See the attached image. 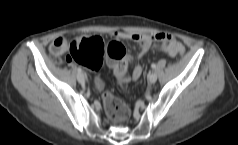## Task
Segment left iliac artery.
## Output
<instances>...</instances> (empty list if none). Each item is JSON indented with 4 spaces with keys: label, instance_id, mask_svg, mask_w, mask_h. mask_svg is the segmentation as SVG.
I'll return each mask as SVG.
<instances>
[{
    "label": "left iliac artery",
    "instance_id": "left-iliac-artery-1",
    "mask_svg": "<svg viewBox=\"0 0 238 145\" xmlns=\"http://www.w3.org/2000/svg\"><path fill=\"white\" fill-rule=\"evenodd\" d=\"M151 67H152L153 69H155V68H156V65H155V64H152Z\"/></svg>",
    "mask_w": 238,
    "mask_h": 145
}]
</instances>
